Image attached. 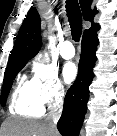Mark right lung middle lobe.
<instances>
[{"mask_svg": "<svg viewBox=\"0 0 117 136\" xmlns=\"http://www.w3.org/2000/svg\"><path fill=\"white\" fill-rule=\"evenodd\" d=\"M28 60H18L12 63H9L6 67L3 87L1 91V105L4 106L6 104V100L13 84V80L15 79L17 73L26 65Z\"/></svg>", "mask_w": 117, "mask_h": 136, "instance_id": "1", "label": "right lung middle lobe"}]
</instances>
